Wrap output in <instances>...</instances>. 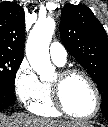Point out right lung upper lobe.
Listing matches in <instances>:
<instances>
[{
	"label": "right lung upper lobe",
	"mask_w": 108,
	"mask_h": 127,
	"mask_svg": "<svg viewBox=\"0 0 108 127\" xmlns=\"http://www.w3.org/2000/svg\"><path fill=\"white\" fill-rule=\"evenodd\" d=\"M25 15L20 5L0 3V53L24 56Z\"/></svg>",
	"instance_id": "1"
}]
</instances>
